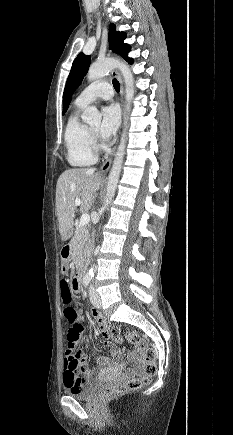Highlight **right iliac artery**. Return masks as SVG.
<instances>
[{
	"mask_svg": "<svg viewBox=\"0 0 233 435\" xmlns=\"http://www.w3.org/2000/svg\"><path fill=\"white\" fill-rule=\"evenodd\" d=\"M90 281H91L90 278H86V279H84V280H83V284H84V286L87 287V286L89 285Z\"/></svg>",
	"mask_w": 233,
	"mask_h": 435,
	"instance_id": "82829eb1",
	"label": "right iliac artery"
}]
</instances>
